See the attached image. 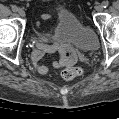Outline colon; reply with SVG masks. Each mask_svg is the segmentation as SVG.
Masks as SVG:
<instances>
[{"mask_svg": "<svg viewBox=\"0 0 119 119\" xmlns=\"http://www.w3.org/2000/svg\"><path fill=\"white\" fill-rule=\"evenodd\" d=\"M60 75L65 80H73L82 75V69L77 66H68L60 72Z\"/></svg>", "mask_w": 119, "mask_h": 119, "instance_id": "1", "label": "colon"}]
</instances>
